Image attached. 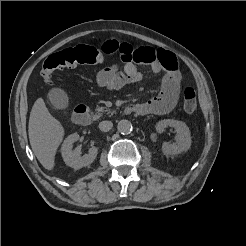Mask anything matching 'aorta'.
Returning <instances> with one entry per match:
<instances>
[{"instance_id":"aorta-1","label":"aorta","mask_w":246,"mask_h":246,"mask_svg":"<svg viewBox=\"0 0 246 246\" xmlns=\"http://www.w3.org/2000/svg\"><path fill=\"white\" fill-rule=\"evenodd\" d=\"M117 129L121 134L126 135V134L131 133L132 124L129 120H121L118 123Z\"/></svg>"}]
</instances>
